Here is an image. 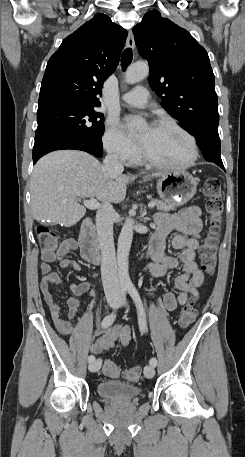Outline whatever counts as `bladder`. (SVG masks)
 Here are the masks:
<instances>
[{"instance_id": "obj_1", "label": "bladder", "mask_w": 245, "mask_h": 457, "mask_svg": "<svg viewBox=\"0 0 245 457\" xmlns=\"http://www.w3.org/2000/svg\"><path fill=\"white\" fill-rule=\"evenodd\" d=\"M98 394L99 396L132 399L140 395V389L122 381L108 380L98 384Z\"/></svg>"}]
</instances>
